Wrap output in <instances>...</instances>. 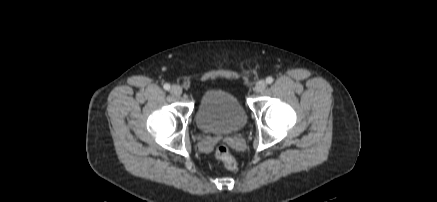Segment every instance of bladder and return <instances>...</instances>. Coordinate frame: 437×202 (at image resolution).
Listing matches in <instances>:
<instances>
[{"mask_svg": "<svg viewBox=\"0 0 437 202\" xmlns=\"http://www.w3.org/2000/svg\"><path fill=\"white\" fill-rule=\"evenodd\" d=\"M195 122L206 133L228 135L240 131L247 122V114L231 92L210 89L201 97Z\"/></svg>", "mask_w": 437, "mask_h": 202, "instance_id": "bladder-1", "label": "bladder"}]
</instances>
